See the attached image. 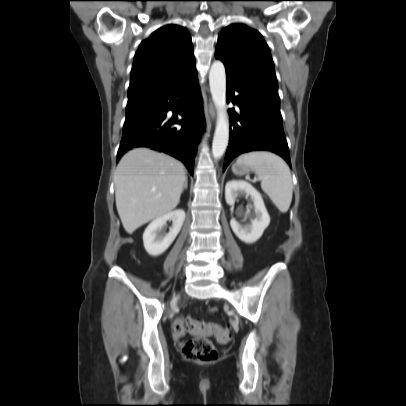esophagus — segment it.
<instances>
[{
  "instance_id": "34e87169",
  "label": "esophagus",
  "mask_w": 406,
  "mask_h": 406,
  "mask_svg": "<svg viewBox=\"0 0 406 406\" xmlns=\"http://www.w3.org/2000/svg\"><path fill=\"white\" fill-rule=\"evenodd\" d=\"M206 116H207V120L208 122H212L215 120V107L212 101H209L208 104L206 105Z\"/></svg>"
}]
</instances>
